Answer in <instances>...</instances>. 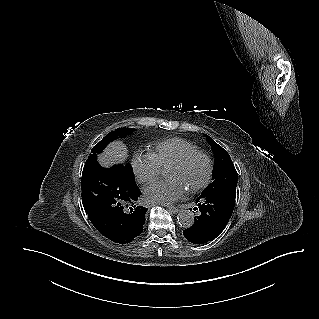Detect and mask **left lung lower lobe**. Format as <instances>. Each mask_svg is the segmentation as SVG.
<instances>
[{
  "mask_svg": "<svg viewBox=\"0 0 319 319\" xmlns=\"http://www.w3.org/2000/svg\"><path fill=\"white\" fill-rule=\"evenodd\" d=\"M236 188L201 195L196 200L200 214L193 226L185 229V238L195 244L215 239L226 227L235 207Z\"/></svg>",
  "mask_w": 319,
  "mask_h": 319,
  "instance_id": "obj_1",
  "label": "left lung lower lobe"
}]
</instances>
